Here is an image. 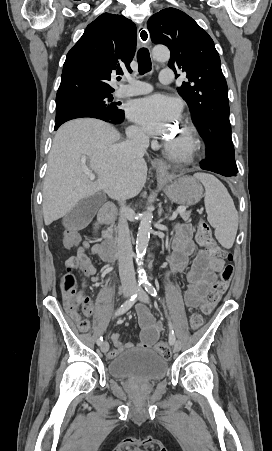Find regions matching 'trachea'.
Returning a JSON list of instances; mask_svg holds the SVG:
<instances>
[{"mask_svg": "<svg viewBox=\"0 0 272 451\" xmlns=\"http://www.w3.org/2000/svg\"><path fill=\"white\" fill-rule=\"evenodd\" d=\"M137 60L139 64V73L144 74L151 70V60L149 50L147 48H141L137 53Z\"/></svg>", "mask_w": 272, "mask_h": 451, "instance_id": "3493384b", "label": "trachea"}]
</instances>
